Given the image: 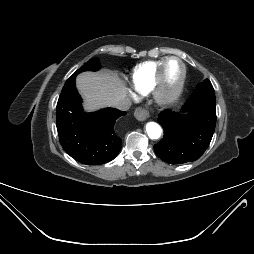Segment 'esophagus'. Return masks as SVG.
<instances>
[{
  "instance_id": "34e87169",
  "label": "esophagus",
  "mask_w": 254,
  "mask_h": 254,
  "mask_svg": "<svg viewBox=\"0 0 254 254\" xmlns=\"http://www.w3.org/2000/svg\"><path fill=\"white\" fill-rule=\"evenodd\" d=\"M134 116L139 121H145L149 118L150 113L147 109L143 107H137L134 111Z\"/></svg>"
}]
</instances>
